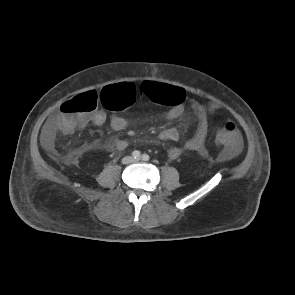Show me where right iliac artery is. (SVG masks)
<instances>
[{"mask_svg":"<svg viewBox=\"0 0 295 295\" xmlns=\"http://www.w3.org/2000/svg\"><path fill=\"white\" fill-rule=\"evenodd\" d=\"M132 156H133L135 159H139L140 156H141V153H140L138 150H135V151H133Z\"/></svg>","mask_w":295,"mask_h":295,"instance_id":"82829eb1","label":"right iliac artery"}]
</instances>
